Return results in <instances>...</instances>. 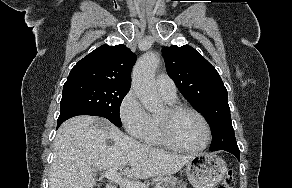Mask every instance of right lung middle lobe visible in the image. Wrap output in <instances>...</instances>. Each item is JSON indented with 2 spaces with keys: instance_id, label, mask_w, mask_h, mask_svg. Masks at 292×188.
<instances>
[{
  "instance_id": "dd1d6c3e",
  "label": "right lung middle lobe",
  "mask_w": 292,
  "mask_h": 188,
  "mask_svg": "<svg viewBox=\"0 0 292 188\" xmlns=\"http://www.w3.org/2000/svg\"><path fill=\"white\" fill-rule=\"evenodd\" d=\"M130 88L93 80L66 81L60 103V113L79 111L86 115L107 118L121 127L120 105Z\"/></svg>"
}]
</instances>
